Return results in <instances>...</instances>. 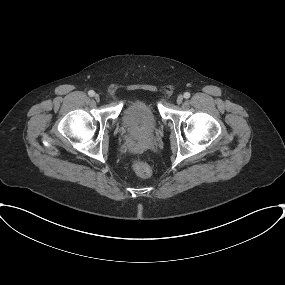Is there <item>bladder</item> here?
Wrapping results in <instances>:
<instances>
[{
    "mask_svg": "<svg viewBox=\"0 0 285 285\" xmlns=\"http://www.w3.org/2000/svg\"><path fill=\"white\" fill-rule=\"evenodd\" d=\"M124 125L131 131L147 134L157 126V117L151 105L143 100L131 102L123 113Z\"/></svg>",
    "mask_w": 285,
    "mask_h": 285,
    "instance_id": "bladder-1",
    "label": "bladder"
}]
</instances>
